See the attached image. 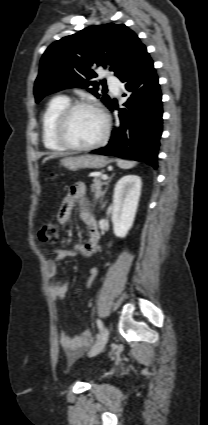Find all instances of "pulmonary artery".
I'll use <instances>...</instances> for the list:
<instances>
[{
	"label": "pulmonary artery",
	"mask_w": 208,
	"mask_h": 425,
	"mask_svg": "<svg viewBox=\"0 0 208 425\" xmlns=\"http://www.w3.org/2000/svg\"><path fill=\"white\" fill-rule=\"evenodd\" d=\"M107 82H108V84H109L110 86H112V87L114 88V92H115L116 94H118V93H119V89H118V80H117L115 77H113V76H108V77H107Z\"/></svg>",
	"instance_id": "e3ab8cb5"
}]
</instances>
